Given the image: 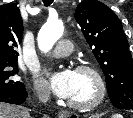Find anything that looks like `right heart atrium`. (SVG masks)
<instances>
[{
	"label": "right heart atrium",
	"instance_id": "1",
	"mask_svg": "<svg viewBox=\"0 0 133 118\" xmlns=\"http://www.w3.org/2000/svg\"><path fill=\"white\" fill-rule=\"evenodd\" d=\"M34 89L38 97L40 98L48 97V90L46 84L42 80L40 79L35 80Z\"/></svg>",
	"mask_w": 133,
	"mask_h": 118
}]
</instances>
